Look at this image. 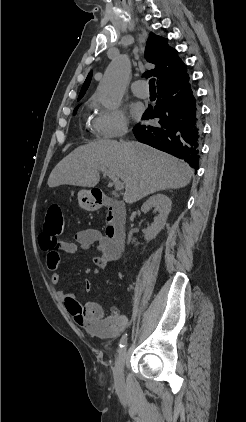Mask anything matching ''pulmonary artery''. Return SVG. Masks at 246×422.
Returning <instances> with one entry per match:
<instances>
[{
	"instance_id": "1",
	"label": "pulmonary artery",
	"mask_w": 246,
	"mask_h": 422,
	"mask_svg": "<svg viewBox=\"0 0 246 422\" xmlns=\"http://www.w3.org/2000/svg\"><path fill=\"white\" fill-rule=\"evenodd\" d=\"M133 93L140 98H147L149 96V90L147 83L143 80L134 81L131 84Z\"/></svg>"
}]
</instances>
